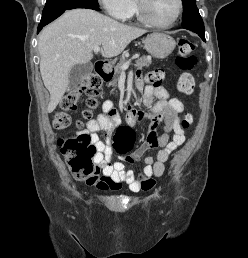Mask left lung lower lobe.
Wrapping results in <instances>:
<instances>
[{
	"label": "left lung lower lobe",
	"instance_id": "obj_1",
	"mask_svg": "<svg viewBox=\"0 0 248 258\" xmlns=\"http://www.w3.org/2000/svg\"><path fill=\"white\" fill-rule=\"evenodd\" d=\"M197 33L203 41H205L204 24H194L183 27Z\"/></svg>",
	"mask_w": 248,
	"mask_h": 258
}]
</instances>
